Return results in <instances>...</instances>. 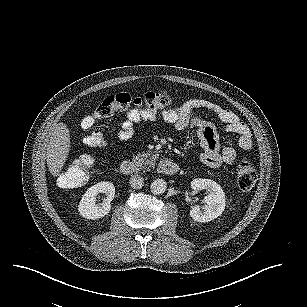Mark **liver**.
Instances as JSON below:
<instances>
[{"label": "liver", "mask_w": 307, "mask_h": 307, "mask_svg": "<svg viewBox=\"0 0 307 307\" xmlns=\"http://www.w3.org/2000/svg\"><path fill=\"white\" fill-rule=\"evenodd\" d=\"M68 142V129L64 124L60 123L51 133L46 155L48 168L54 176L63 166L68 153Z\"/></svg>", "instance_id": "6515ba94"}]
</instances>
